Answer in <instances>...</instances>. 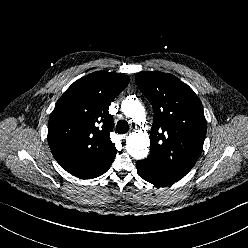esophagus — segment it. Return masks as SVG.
<instances>
[{
	"label": "esophagus",
	"mask_w": 248,
	"mask_h": 248,
	"mask_svg": "<svg viewBox=\"0 0 248 248\" xmlns=\"http://www.w3.org/2000/svg\"><path fill=\"white\" fill-rule=\"evenodd\" d=\"M120 137L121 139H125L127 137V134H122Z\"/></svg>",
	"instance_id": "34e87169"
}]
</instances>
